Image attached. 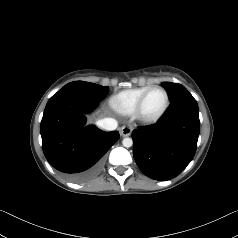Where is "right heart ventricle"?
Wrapping results in <instances>:
<instances>
[{
    "label": "right heart ventricle",
    "mask_w": 238,
    "mask_h": 238,
    "mask_svg": "<svg viewBox=\"0 0 238 238\" xmlns=\"http://www.w3.org/2000/svg\"><path fill=\"white\" fill-rule=\"evenodd\" d=\"M149 85L126 89L113 95L110 100L111 107L120 114L130 115L134 112L141 95L149 88Z\"/></svg>",
    "instance_id": "right-heart-ventricle-1"
}]
</instances>
